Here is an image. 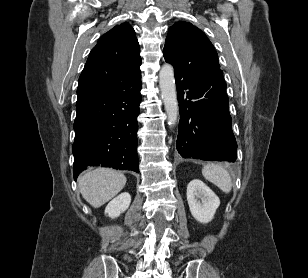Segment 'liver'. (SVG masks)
<instances>
[{
	"mask_svg": "<svg viewBox=\"0 0 308 278\" xmlns=\"http://www.w3.org/2000/svg\"><path fill=\"white\" fill-rule=\"evenodd\" d=\"M123 173L111 168L89 169L78 178V186L83 198L94 208H99L125 186Z\"/></svg>",
	"mask_w": 308,
	"mask_h": 278,
	"instance_id": "obj_1",
	"label": "liver"
}]
</instances>
